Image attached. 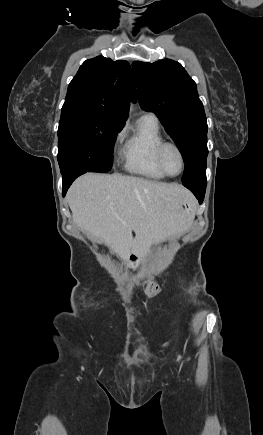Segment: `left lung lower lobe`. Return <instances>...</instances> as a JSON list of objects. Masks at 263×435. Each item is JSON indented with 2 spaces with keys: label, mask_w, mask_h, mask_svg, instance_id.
I'll use <instances>...</instances> for the list:
<instances>
[{
  "label": "left lung lower lobe",
  "mask_w": 263,
  "mask_h": 435,
  "mask_svg": "<svg viewBox=\"0 0 263 435\" xmlns=\"http://www.w3.org/2000/svg\"><path fill=\"white\" fill-rule=\"evenodd\" d=\"M183 185L196 196L199 200V204L203 202L206 190V174L199 178L183 182Z\"/></svg>",
  "instance_id": "left-lung-lower-lobe-1"
}]
</instances>
